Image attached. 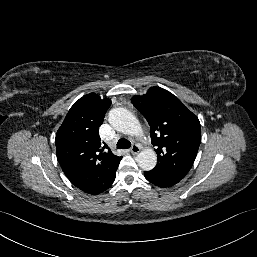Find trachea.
<instances>
[{
    "mask_svg": "<svg viewBox=\"0 0 257 257\" xmlns=\"http://www.w3.org/2000/svg\"><path fill=\"white\" fill-rule=\"evenodd\" d=\"M118 149H128L131 147V142L125 138H121L117 142Z\"/></svg>",
    "mask_w": 257,
    "mask_h": 257,
    "instance_id": "3493384b",
    "label": "trachea"
}]
</instances>
